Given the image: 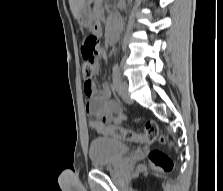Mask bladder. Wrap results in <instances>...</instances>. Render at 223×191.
I'll list each match as a JSON object with an SVG mask.
<instances>
[{
    "mask_svg": "<svg viewBox=\"0 0 223 191\" xmlns=\"http://www.w3.org/2000/svg\"><path fill=\"white\" fill-rule=\"evenodd\" d=\"M129 150V145L123 140L97 137L90 142L88 154L92 166L103 168L120 162Z\"/></svg>",
    "mask_w": 223,
    "mask_h": 191,
    "instance_id": "1",
    "label": "bladder"
}]
</instances>
